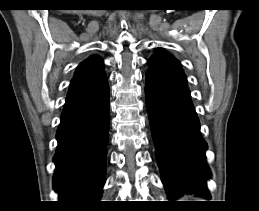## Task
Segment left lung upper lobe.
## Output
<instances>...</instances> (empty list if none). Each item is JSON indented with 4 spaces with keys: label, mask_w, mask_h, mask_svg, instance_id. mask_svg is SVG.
I'll return each mask as SVG.
<instances>
[{
    "label": "left lung upper lobe",
    "mask_w": 259,
    "mask_h": 211,
    "mask_svg": "<svg viewBox=\"0 0 259 211\" xmlns=\"http://www.w3.org/2000/svg\"><path fill=\"white\" fill-rule=\"evenodd\" d=\"M146 77L169 85L187 87V79L180 62L164 50H159L148 60Z\"/></svg>",
    "instance_id": "1"
}]
</instances>
